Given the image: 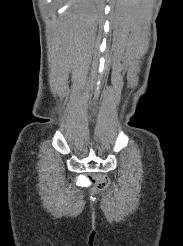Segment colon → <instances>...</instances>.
<instances>
[{"instance_id": "1", "label": "colon", "mask_w": 183, "mask_h": 246, "mask_svg": "<svg viewBox=\"0 0 183 246\" xmlns=\"http://www.w3.org/2000/svg\"><path fill=\"white\" fill-rule=\"evenodd\" d=\"M86 176L87 182L93 183L96 191H101L108 185V181L104 177H95V174H86Z\"/></svg>"}]
</instances>
